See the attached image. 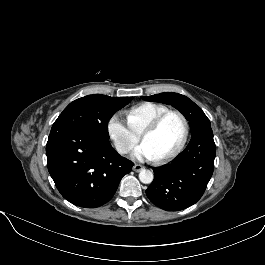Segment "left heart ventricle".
Segmentation results:
<instances>
[{
    "instance_id": "left-heart-ventricle-1",
    "label": "left heart ventricle",
    "mask_w": 265,
    "mask_h": 265,
    "mask_svg": "<svg viewBox=\"0 0 265 265\" xmlns=\"http://www.w3.org/2000/svg\"><path fill=\"white\" fill-rule=\"evenodd\" d=\"M184 133L183 121L178 115H169L159 128L144 137L145 143L154 157L164 155L175 149L182 140Z\"/></svg>"
}]
</instances>
